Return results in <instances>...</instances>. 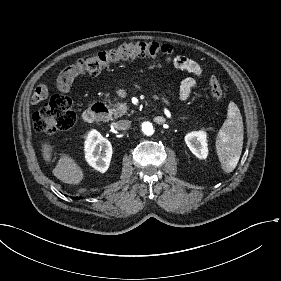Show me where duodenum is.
Segmentation results:
<instances>
[{
	"label": "duodenum",
	"instance_id": "1",
	"mask_svg": "<svg viewBox=\"0 0 281 281\" xmlns=\"http://www.w3.org/2000/svg\"><path fill=\"white\" fill-rule=\"evenodd\" d=\"M107 108L104 102H96L83 113V120L88 124L99 121L106 112Z\"/></svg>",
	"mask_w": 281,
	"mask_h": 281
}]
</instances>
